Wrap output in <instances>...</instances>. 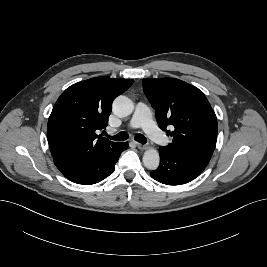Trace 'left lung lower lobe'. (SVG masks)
Returning <instances> with one entry per match:
<instances>
[{
	"label": "left lung lower lobe",
	"instance_id": "0a47b994",
	"mask_svg": "<svg viewBox=\"0 0 267 267\" xmlns=\"http://www.w3.org/2000/svg\"><path fill=\"white\" fill-rule=\"evenodd\" d=\"M159 153L160 165L157 170L151 172V177L167 185H181L192 181L204 171L210 161L194 154L163 147L159 149Z\"/></svg>",
	"mask_w": 267,
	"mask_h": 267
}]
</instances>
